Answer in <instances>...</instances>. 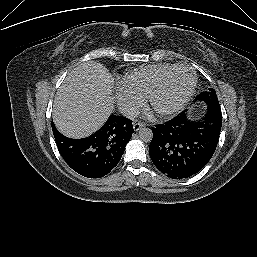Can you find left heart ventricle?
<instances>
[{
	"label": "left heart ventricle",
	"mask_w": 257,
	"mask_h": 257,
	"mask_svg": "<svg viewBox=\"0 0 257 257\" xmlns=\"http://www.w3.org/2000/svg\"><path fill=\"white\" fill-rule=\"evenodd\" d=\"M192 74L186 69L174 71L165 81L160 93L154 100L156 109H167L177 103L188 91Z\"/></svg>",
	"instance_id": "1"
}]
</instances>
